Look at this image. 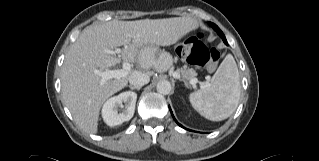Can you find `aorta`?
Listing matches in <instances>:
<instances>
[{
  "mask_svg": "<svg viewBox=\"0 0 319 161\" xmlns=\"http://www.w3.org/2000/svg\"><path fill=\"white\" fill-rule=\"evenodd\" d=\"M157 92L162 95H168L171 91V83L168 80H161L157 83Z\"/></svg>",
  "mask_w": 319,
  "mask_h": 161,
  "instance_id": "aorta-1",
  "label": "aorta"
}]
</instances>
